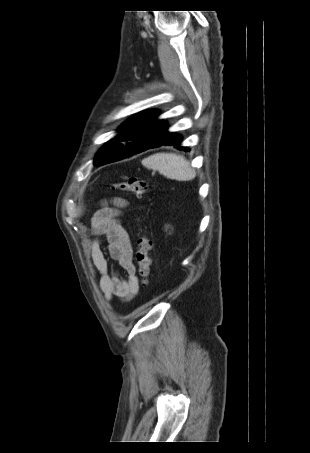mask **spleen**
Segmentation results:
<instances>
[{
	"instance_id": "obj_1",
	"label": "spleen",
	"mask_w": 310,
	"mask_h": 453,
	"mask_svg": "<svg viewBox=\"0 0 310 453\" xmlns=\"http://www.w3.org/2000/svg\"><path fill=\"white\" fill-rule=\"evenodd\" d=\"M142 164L173 180L189 181L196 176L186 158L175 153H156L142 160Z\"/></svg>"
}]
</instances>
